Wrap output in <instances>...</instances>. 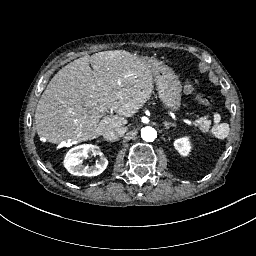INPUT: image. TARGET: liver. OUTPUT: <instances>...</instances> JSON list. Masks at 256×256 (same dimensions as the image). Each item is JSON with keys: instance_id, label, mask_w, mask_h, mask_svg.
<instances>
[{"instance_id": "1", "label": "liver", "mask_w": 256, "mask_h": 256, "mask_svg": "<svg viewBox=\"0 0 256 256\" xmlns=\"http://www.w3.org/2000/svg\"><path fill=\"white\" fill-rule=\"evenodd\" d=\"M155 80L151 61L124 49L76 59L43 92L35 112L37 134L53 144H78L121 128L152 98Z\"/></svg>"}]
</instances>
